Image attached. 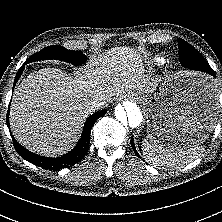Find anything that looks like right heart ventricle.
<instances>
[{"label":"right heart ventricle","mask_w":222,"mask_h":222,"mask_svg":"<svg viewBox=\"0 0 222 222\" xmlns=\"http://www.w3.org/2000/svg\"><path fill=\"white\" fill-rule=\"evenodd\" d=\"M163 61H164L163 58H160V57L156 58V62L158 64H161Z\"/></svg>","instance_id":"e07e8e85"}]
</instances>
